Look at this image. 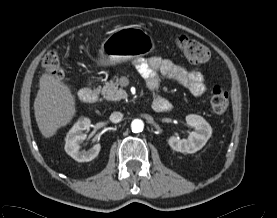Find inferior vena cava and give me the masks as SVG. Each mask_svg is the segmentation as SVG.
Here are the masks:
<instances>
[{
	"mask_svg": "<svg viewBox=\"0 0 277 218\" xmlns=\"http://www.w3.org/2000/svg\"><path fill=\"white\" fill-rule=\"evenodd\" d=\"M123 118V114L121 112L115 111L110 115V121L112 123H119Z\"/></svg>",
	"mask_w": 277,
	"mask_h": 218,
	"instance_id": "602c4592",
	"label": "inferior vena cava"
}]
</instances>
